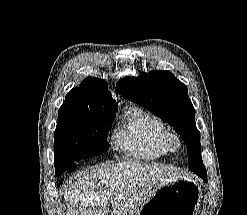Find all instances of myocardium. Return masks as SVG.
Instances as JSON below:
<instances>
[{
	"instance_id": "myocardium-1",
	"label": "myocardium",
	"mask_w": 247,
	"mask_h": 215,
	"mask_svg": "<svg viewBox=\"0 0 247 215\" xmlns=\"http://www.w3.org/2000/svg\"><path fill=\"white\" fill-rule=\"evenodd\" d=\"M165 142L168 150L171 152H177L182 147L181 137L177 133L168 132Z\"/></svg>"
}]
</instances>
